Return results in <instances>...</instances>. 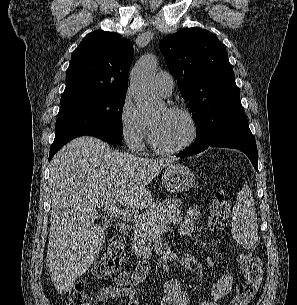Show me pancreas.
I'll list each match as a JSON object with an SVG mask.
<instances>
[{"label": "pancreas", "instance_id": "cf45deb5", "mask_svg": "<svg viewBox=\"0 0 297 305\" xmlns=\"http://www.w3.org/2000/svg\"><path fill=\"white\" fill-rule=\"evenodd\" d=\"M180 200L165 199L153 204L144 214L133 220L132 247L136 255L148 258L152 255V238L159 229L162 221L168 220L171 224L182 222Z\"/></svg>", "mask_w": 297, "mask_h": 305}]
</instances>
